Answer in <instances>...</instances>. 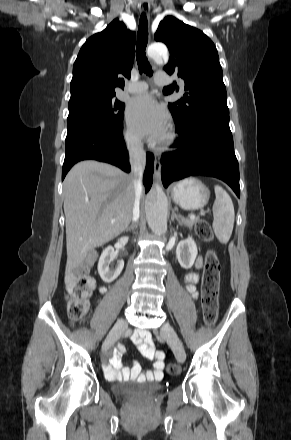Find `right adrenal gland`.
<instances>
[{"label": "right adrenal gland", "instance_id": "obj_1", "mask_svg": "<svg viewBox=\"0 0 291 440\" xmlns=\"http://www.w3.org/2000/svg\"><path fill=\"white\" fill-rule=\"evenodd\" d=\"M137 228V224L136 225H131V226H129L127 229H126V231H133L134 229H136Z\"/></svg>", "mask_w": 291, "mask_h": 440}]
</instances>
